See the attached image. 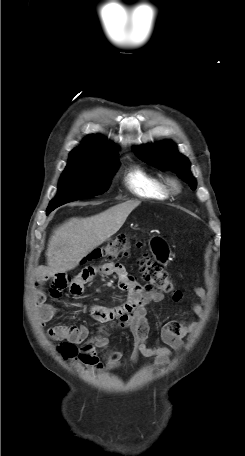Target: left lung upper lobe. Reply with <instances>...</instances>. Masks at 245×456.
Listing matches in <instances>:
<instances>
[{
  "mask_svg": "<svg viewBox=\"0 0 245 456\" xmlns=\"http://www.w3.org/2000/svg\"><path fill=\"white\" fill-rule=\"evenodd\" d=\"M135 155L144 162L161 170H171L187 182L192 190L196 189V180L190 172L188 159L176 151V147L169 141H164L148 147H137Z\"/></svg>",
  "mask_w": 245,
  "mask_h": 456,
  "instance_id": "5c2ea615",
  "label": "left lung upper lobe"
}]
</instances>
